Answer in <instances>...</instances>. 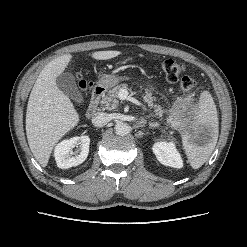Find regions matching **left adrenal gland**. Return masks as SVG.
<instances>
[{
  "instance_id": "left-adrenal-gland-1",
  "label": "left adrenal gland",
  "mask_w": 247,
  "mask_h": 247,
  "mask_svg": "<svg viewBox=\"0 0 247 247\" xmlns=\"http://www.w3.org/2000/svg\"><path fill=\"white\" fill-rule=\"evenodd\" d=\"M156 127H159V124L158 123H150L149 124V128L150 129H153V128H156Z\"/></svg>"
}]
</instances>
